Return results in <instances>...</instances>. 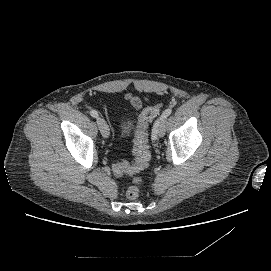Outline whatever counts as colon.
<instances>
[{"mask_svg":"<svg viewBox=\"0 0 271 271\" xmlns=\"http://www.w3.org/2000/svg\"><path fill=\"white\" fill-rule=\"evenodd\" d=\"M162 108L161 104H156L154 106L145 108L140 116L138 121V126L135 131L134 139V154L135 161L134 163H129L126 161L118 162L114 164L113 171L117 176L129 175L136 172H139L148 166L150 160V151L148 146V126L160 113ZM141 179L135 177L133 183L126 190V197L130 200L137 199L140 190L139 184Z\"/></svg>","mask_w":271,"mask_h":271,"instance_id":"1","label":"colon"}]
</instances>
